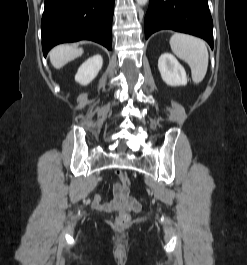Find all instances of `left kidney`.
<instances>
[{
    "label": "left kidney",
    "instance_id": "left-kidney-1",
    "mask_svg": "<svg viewBox=\"0 0 247 265\" xmlns=\"http://www.w3.org/2000/svg\"><path fill=\"white\" fill-rule=\"evenodd\" d=\"M158 69L167 85L185 86L187 84L185 69L172 54L164 53L159 57Z\"/></svg>",
    "mask_w": 247,
    "mask_h": 265
}]
</instances>
